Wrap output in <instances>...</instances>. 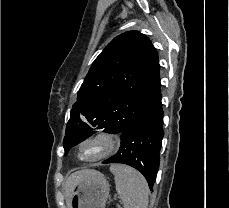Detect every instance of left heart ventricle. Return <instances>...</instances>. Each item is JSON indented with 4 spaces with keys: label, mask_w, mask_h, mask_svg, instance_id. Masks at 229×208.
<instances>
[{
    "label": "left heart ventricle",
    "mask_w": 229,
    "mask_h": 208,
    "mask_svg": "<svg viewBox=\"0 0 229 208\" xmlns=\"http://www.w3.org/2000/svg\"><path fill=\"white\" fill-rule=\"evenodd\" d=\"M112 138V137H111ZM113 147H81L80 149V156L83 159H93L99 157L108 151H110Z\"/></svg>",
    "instance_id": "left-heart-ventricle-1"
}]
</instances>
